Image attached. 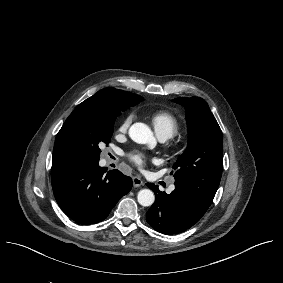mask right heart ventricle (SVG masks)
I'll return each mask as SVG.
<instances>
[{"label":"right heart ventricle","instance_id":"right-heart-ventricle-1","mask_svg":"<svg viewBox=\"0 0 283 283\" xmlns=\"http://www.w3.org/2000/svg\"><path fill=\"white\" fill-rule=\"evenodd\" d=\"M151 124L159 137L169 139L179 129V122L175 116L167 112H158L150 117Z\"/></svg>","mask_w":283,"mask_h":283}]
</instances>
